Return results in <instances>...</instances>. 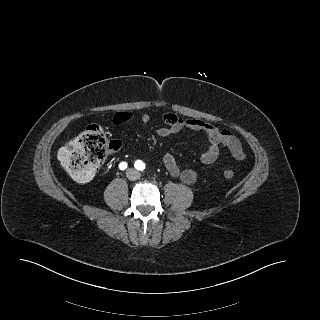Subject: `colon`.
I'll list each match as a JSON object with an SVG mask.
<instances>
[{"label":"colon","mask_w":320,"mask_h":320,"mask_svg":"<svg viewBox=\"0 0 320 320\" xmlns=\"http://www.w3.org/2000/svg\"><path fill=\"white\" fill-rule=\"evenodd\" d=\"M118 147L117 141L107 139L101 126L91 124L59 150L58 160L74 180L87 182L106 158L108 150ZM222 175L232 179L234 172L224 169Z\"/></svg>","instance_id":"colon-1"}]
</instances>
